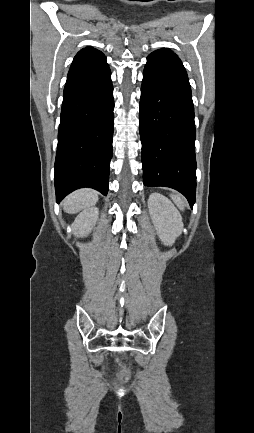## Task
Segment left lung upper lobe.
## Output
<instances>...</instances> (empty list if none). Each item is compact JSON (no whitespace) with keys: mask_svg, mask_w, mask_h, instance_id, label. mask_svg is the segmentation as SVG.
<instances>
[{"mask_svg":"<svg viewBox=\"0 0 254 433\" xmlns=\"http://www.w3.org/2000/svg\"><path fill=\"white\" fill-rule=\"evenodd\" d=\"M155 52H167V53H171L170 51H168L166 49H160V50H157ZM171 54H173V53H171ZM173 55H175V54H173Z\"/></svg>","mask_w":254,"mask_h":433,"instance_id":"obj_1","label":"left lung upper lobe"}]
</instances>
